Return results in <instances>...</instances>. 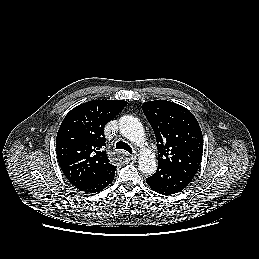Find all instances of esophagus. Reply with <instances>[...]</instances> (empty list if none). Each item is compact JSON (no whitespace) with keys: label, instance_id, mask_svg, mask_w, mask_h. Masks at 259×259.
I'll return each mask as SVG.
<instances>
[{"label":"esophagus","instance_id":"34e87169","mask_svg":"<svg viewBox=\"0 0 259 259\" xmlns=\"http://www.w3.org/2000/svg\"><path fill=\"white\" fill-rule=\"evenodd\" d=\"M126 157H127V159H128L129 161H132V162H134V161L137 159V155H130V154H127Z\"/></svg>","mask_w":259,"mask_h":259}]
</instances>
